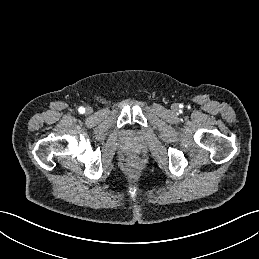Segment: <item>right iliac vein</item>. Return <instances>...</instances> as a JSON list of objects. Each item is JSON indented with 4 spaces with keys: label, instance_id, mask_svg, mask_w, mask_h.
<instances>
[{
    "label": "right iliac vein",
    "instance_id": "63e3f726",
    "mask_svg": "<svg viewBox=\"0 0 259 259\" xmlns=\"http://www.w3.org/2000/svg\"><path fill=\"white\" fill-rule=\"evenodd\" d=\"M91 112H92V109H91L90 107H87V108H86V113L89 114V113H91Z\"/></svg>",
    "mask_w": 259,
    "mask_h": 259
}]
</instances>
